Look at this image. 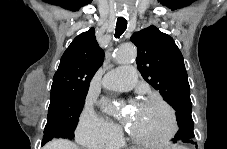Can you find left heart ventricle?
<instances>
[{
    "label": "left heart ventricle",
    "mask_w": 227,
    "mask_h": 149,
    "mask_svg": "<svg viewBox=\"0 0 227 149\" xmlns=\"http://www.w3.org/2000/svg\"><path fill=\"white\" fill-rule=\"evenodd\" d=\"M130 129L138 136L147 139L164 137L170 130L168 111L161 105L144 102L133 113L126 115Z\"/></svg>",
    "instance_id": "left-heart-ventricle-1"
}]
</instances>
